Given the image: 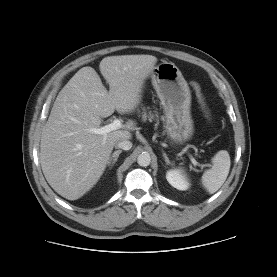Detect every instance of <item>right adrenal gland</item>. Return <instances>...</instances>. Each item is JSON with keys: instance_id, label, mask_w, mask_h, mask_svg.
Instances as JSON below:
<instances>
[{"instance_id": "2a0ac1e0", "label": "right adrenal gland", "mask_w": 277, "mask_h": 277, "mask_svg": "<svg viewBox=\"0 0 277 277\" xmlns=\"http://www.w3.org/2000/svg\"><path fill=\"white\" fill-rule=\"evenodd\" d=\"M121 153H122V150L114 151V153L110 157L108 164H107L108 166H111L110 168H112V166H114V164L116 163V161Z\"/></svg>"}]
</instances>
